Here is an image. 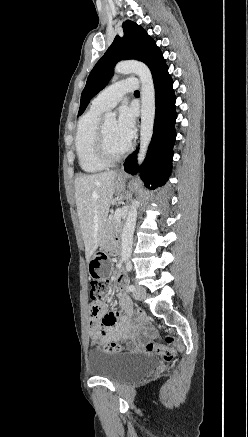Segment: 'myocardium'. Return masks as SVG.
<instances>
[{
	"mask_svg": "<svg viewBox=\"0 0 248 437\" xmlns=\"http://www.w3.org/2000/svg\"><path fill=\"white\" fill-rule=\"evenodd\" d=\"M131 144H128L122 151L117 154H112L107 146L104 124L100 123L96 137V154L98 158L106 165H112L122 159L130 150Z\"/></svg>",
	"mask_w": 248,
	"mask_h": 437,
	"instance_id": "myocardium-1",
	"label": "myocardium"
}]
</instances>
